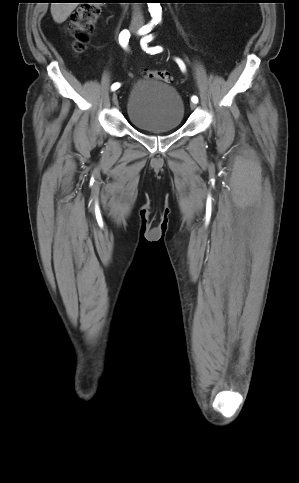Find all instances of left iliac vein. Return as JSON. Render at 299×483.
<instances>
[{"label": "left iliac vein", "instance_id": "obj_1", "mask_svg": "<svg viewBox=\"0 0 299 483\" xmlns=\"http://www.w3.org/2000/svg\"><path fill=\"white\" fill-rule=\"evenodd\" d=\"M190 107H191L192 109H195V108H196V103L191 102V103H190Z\"/></svg>", "mask_w": 299, "mask_h": 483}]
</instances>
